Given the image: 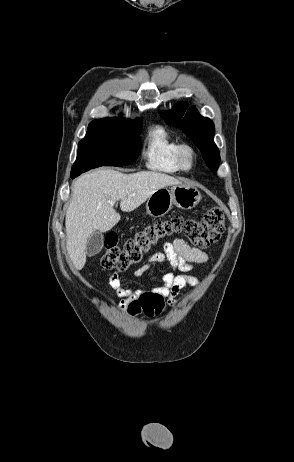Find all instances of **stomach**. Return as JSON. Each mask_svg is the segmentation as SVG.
<instances>
[{
    "mask_svg": "<svg viewBox=\"0 0 294 462\" xmlns=\"http://www.w3.org/2000/svg\"><path fill=\"white\" fill-rule=\"evenodd\" d=\"M201 200L200 191L193 186L178 184L156 190L146 202V213L152 217H162L173 206L188 210Z\"/></svg>",
    "mask_w": 294,
    "mask_h": 462,
    "instance_id": "0dacf381",
    "label": "stomach"
}]
</instances>
